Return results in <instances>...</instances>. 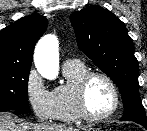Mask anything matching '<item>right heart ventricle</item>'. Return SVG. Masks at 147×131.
<instances>
[{"mask_svg": "<svg viewBox=\"0 0 147 131\" xmlns=\"http://www.w3.org/2000/svg\"><path fill=\"white\" fill-rule=\"evenodd\" d=\"M87 71V66L82 62L64 64L63 74L66 81L52 91L55 103L54 120L57 122L74 123L81 120L75 104V85Z\"/></svg>", "mask_w": 147, "mask_h": 131, "instance_id": "1", "label": "right heart ventricle"}]
</instances>
